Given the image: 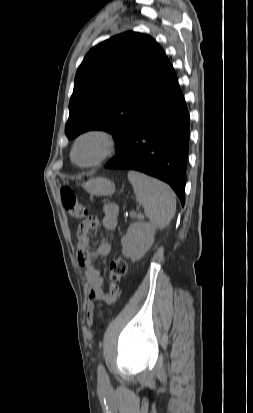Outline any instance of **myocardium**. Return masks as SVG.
Listing matches in <instances>:
<instances>
[{
	"label": "myocardium",
	"instance_id": "obj_1",
	"mask_svg": "<svg viewBox=\"0 0 253 413\" xmlns=\"http://www.w3.org/2000/svg\"><path fill=\"white\" fill-rule=\"evenodd\" d=\"M88 138H93V139L98 140L101 144V149H100L98 156L94 160L88 163H80L79 161H77L76 156H75L76 150H77L78 145L83 140L88 139ZM115 148H116L115 139L109 131L102 129V128H92V129H88V130L81 132L74 139L70 156H71V160L79 167H82V168L94 167L96 165L101 164L106 159H108L114 153Z\"/></svg>",
	"mask_w": 253,
	"mask_h": 413
}]
</instances>
